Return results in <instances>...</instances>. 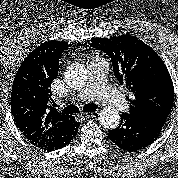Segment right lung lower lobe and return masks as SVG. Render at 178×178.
Returning <instances> with one entry per match:
<instances>
[{
  "mask_svg": "<svg viewBox=\"0 0 178 178\" xmlns=\"http://www.w3.org/2000/svg\"><path fill=\"white\" fill-rule=\"evenodd\" d=\"M79 125H80V123L76 122L75 126L68 133H66L64 136L60 137L58 140H56L51 145L45 147L43 150L54 151V150H58V149L65 147L76 136Z\"/></svg>",
  "mask_w": 178,
  "mask_h": 178,
  "instance_id": "1",
  "label": "right lung lower lobe"
}]
</instances>
